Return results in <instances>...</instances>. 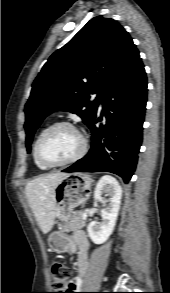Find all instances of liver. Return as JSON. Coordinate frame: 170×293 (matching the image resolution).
Listing matches in <instances>:
<instances>
[{"label":"liver","mask_w":170,"mask_h":293,"mask_svg":"<svg viewBox=\"0 0 170 293\" xmlns=\"http://www.w3.org/2000/svg\"><path fill=\"white\" fill-rule=\"evenodd\" d=\"M66 173H50L27 183L25 193L38 225L47 234L55 220V188Z\"/></svg>","instance_id":"1"}]
</instances>
